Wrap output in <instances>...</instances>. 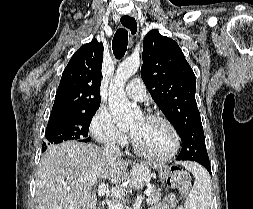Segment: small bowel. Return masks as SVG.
Masks as SVG:
<instances>
[{
  "mask_svg": "<svg viewBox=\"0 0 253 209\" xmlns=\"http://www.w3.org/2000/svg\"><path fill=\"white\" fill-rule=\"evenodd\" d=\"M154 209H181L177 208V199L174 194L167 195Z\"/></svg>",
  "mask_w": 253,
  "mask_h": 209,
  "instance_id": "1",
  "label": "small bowel"
}]
</instances>
